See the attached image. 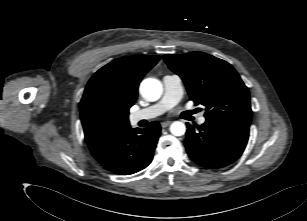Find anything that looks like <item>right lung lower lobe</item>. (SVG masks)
Here are the masks:
<instances>
[{
    "mask_svg": "<svg viewBox=\"0 0 307 221\" xmlns=\"http://www.w3.org/2000/svg\"><path fill=\"white\" fill-rule=\"evenodd\" d=\"M160 125L154 121L145 129H127L92 155L114 174L129 175L147 167L153 158Z\"/></svg>",
    "mask_w": 307,
    "mask_h": 221,
    "instance_id": "obj_1",
    "label": "right lung lower lobe"
}]
</instances>
